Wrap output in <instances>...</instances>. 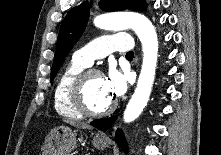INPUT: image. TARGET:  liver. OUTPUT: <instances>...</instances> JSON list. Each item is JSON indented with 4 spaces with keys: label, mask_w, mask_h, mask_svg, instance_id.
Instances as JSON below:
<instances>
[{
    "label": "liver",
    "mask_w": 221,
    "mask_h": 155,
    "mask_svg": "<svg viewBox=\"0 0 221 155\" xmlns=\"http://www.w3.org/2000/svg\"><path fill=\"white\" fill-rule=\"evenodd\" d=\"M66 123H69L70 125H73L80 129H92V127L86 123L78 122V121H72V120H64Z\"/></svg>",
    "instance_id": "liver-1"
}]
</instances>
